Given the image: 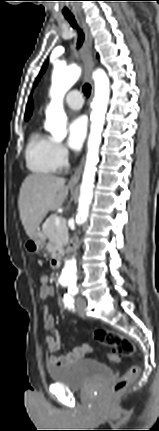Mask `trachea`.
Wrapping results in <instances>:
<instances>
[{"label": "trachea", "instance_id": "obj_1", "mask_svg": "<svg viewBox=\"0 0 159 431\" xmlns=\"http://www.w3.org/2000/svg\"><path fill=\"white\" fill-rule=\"evenodd\" d=\"M67 20L69 21L70 25L73 28H78L77 23H76V21H75V19L73 17H67ZM83 40H84V34L82 33L81 30H78L77 48H79L82 45ZM83 92L86 95V97H89V95L91 93V86L88 83L84 84V86H83Z\"/></svg>", "mask_w": 159, "mask_h": 431}]
</instances>
